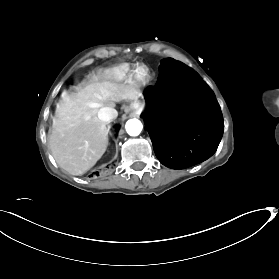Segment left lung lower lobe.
Returning <instances> with one entry per match:
<instances>
[{
	"mask_svg": "<svg viewBox=\"0 0 279 279\" xmlns=\"http://www.w3.org/2000/svg\"><path fill=\"white\" fill-rule=\"evenodd\" d=\"M155 86L145 91L147 131L158 160L185 169L211 157L223 118L213 92L194 71L172 58L161 61Z\"/></svg>",
	"mask_w": 279,
	"mask_h": 279,
	"instance_id": "left-lung-lower-lobe-1",
	"label": "left lung lower lobe"
}]
</instances>
